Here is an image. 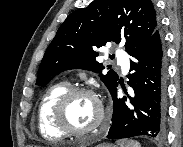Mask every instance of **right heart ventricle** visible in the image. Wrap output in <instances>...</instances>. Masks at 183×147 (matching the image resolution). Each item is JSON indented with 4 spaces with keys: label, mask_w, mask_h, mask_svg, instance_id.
Masks as SVG:
<instances>
[{
    "label": "right heart ventricle",
    "mask_w": 183,
    "mask_h": 147,
    "mask_svg": "<svg viewBox=\"0 0 183 147\" xmlns=\"http://www.w3.org/2000/svg\"><path fill=\"white\" fill-rule=\"evenodd\" d=\"M66 83H58L50 86L43 94L38 110L37 125L40 134L49 140H57L65 137L66 133L58 129L53 121V111L59 98L68 90Z\"/></svg>",
    "instance_id": "right-heart-ventricle-1"
}]
</instances>
